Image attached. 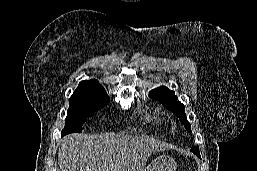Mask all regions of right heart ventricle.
I'll list each match as a JSON object with an SVG mask.
<instances>
[{
  "label": "right heart ventricle",
  "instance_id": "obj_1",
  "mask_svg": "<svg viewBox=\"0 0 257 171\" xmlns=\"http://www.w3.org/2000/svg\"><path fill=\"white\" fill-rule=\"evenodd\" d=\"M144 120L146 123H149L152 125H162V124H166L167 122L164 116L155 112H150L147 115H145Z\"/></svg>",
  "mask_w": 257,
  "mask_h": 171
}]
</instances>
